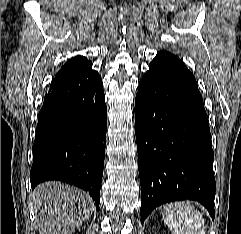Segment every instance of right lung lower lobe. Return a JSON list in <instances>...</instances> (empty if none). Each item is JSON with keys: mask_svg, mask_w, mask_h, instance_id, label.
Segmentation results:
<instances>
[{"mask_svg": "<svg viewBox=\"0 0 241 234\" xmlns=\"http://www.w3.org/2000/svg\"><path fill=\"white\" fill-rule=\"evenodd\" d=\"M92 63L55 77L38 115L32 189L59 180L88 192L99 207L107 130L102 80Z\"/></svg>", "mask_w": 241, "mask_h": 234, "instance_id": "right-lung-lower-lobe-1", "label": "right lung lower lobe"}]
</instances>
